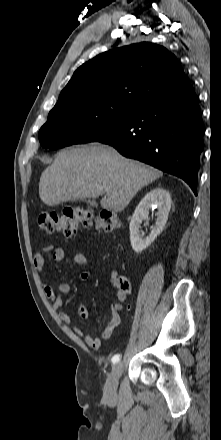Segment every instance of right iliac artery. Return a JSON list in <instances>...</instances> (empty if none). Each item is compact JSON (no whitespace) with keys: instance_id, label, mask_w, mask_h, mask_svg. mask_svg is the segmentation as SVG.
<instances>
[{"instance_id":"82829eb1","label":"right iliac artery","mask_w":221,"mask_h":440,"mask_svg":"<svg viewBox=\"0 0 221 440\" xmlns=\"http://www.w3.org/2000/svg\"><path fill=\"white\" fill-rule=\"evenodd\" d=\"M120 358H121V356L119 354L114 355L112 358V363L115 364V363L119 362Z\"/></svg>"}]
</instances>
